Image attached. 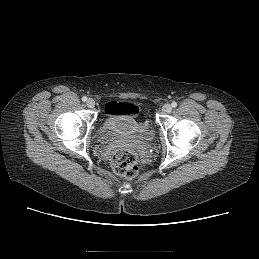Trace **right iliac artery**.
<instances>
[{
  "label": "right iliac artery",
  "mask_w": 259,
  "mask_h": 259,
  "mask_svg": "<svg viewBox=\"0 0 259 259\" xmlns=\"http://www.w3.org/2000/svg\"><path fill=\"white\" fill-rule=\"evenodd\" d=\"M82 101H83V102H86V101H87V97L83 96V97H82Z\"/></svg>",
  "instance_id": "1"
}]
</instances>
